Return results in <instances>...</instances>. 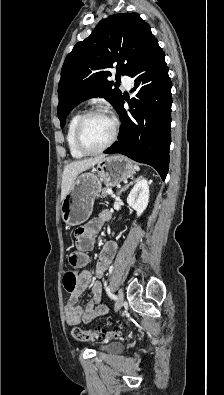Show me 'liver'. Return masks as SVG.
<instances>
[{"instance_id":"liver-1","label":"liver","mask_w":224,"mask_h":395,"mask_svg":"<svg viewBox=\"0 0 224 395\" xmlns=\"http://www.w3.org/2000/svg\"><path fill=\"white\" fill-rule=\"evenodd\" d=\"M103 158H105V155L74 161L64 167L61 184V201H63L64 197L72 188L78 174L93 167Z\"/></svg>"}]
</instances>
